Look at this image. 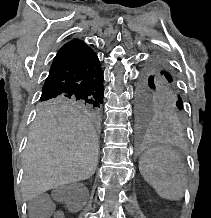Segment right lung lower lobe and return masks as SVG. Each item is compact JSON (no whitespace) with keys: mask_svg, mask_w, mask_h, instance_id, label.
I'll return each instance as SVG.
<instances>
[{"mask_svg":"<svg viewBox=\"0 0 211 218\" xmlns=\"http://www.w3.org/2000/svg\"><path fill=\"white\" fill-rule=\"evenodd\" d=\"M59 96L103 104V73L93 50L53 61L41 98Z\"/></svg>","mask_w":211,"mask_h":218,"instance_id":"1","label":"right lung lower lobe"}]
</instances>
